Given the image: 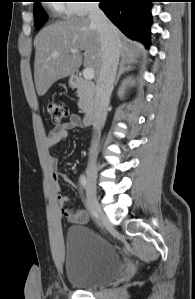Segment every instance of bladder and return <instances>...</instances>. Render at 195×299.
Returning a JSON list of instances; mask_svg holds the SVG:
<instances>
[{
    "instance_id": "31cf9c89",
    "label": "bladder",
    "mask_w": 195,
    "mask_h": 299,
    "mask_svg": "<svg viewBox=\"0 0 195 299\" xmlns=\"http://www.w3.org/2000/svg\"><path fill=\"white\" fill-rule=\"evenodd\" d=\"M64 248L67 281L79 289L110 282L123 270V261L114 246L86 227H70Z\"/></svg>"
}]
</instances>
